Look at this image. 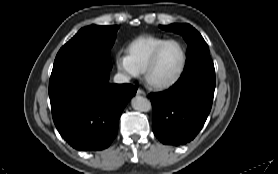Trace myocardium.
Segmentation results:
<instances>
[{
    "label": "myocardium",
    "instance_id": "1",
    "mask_svg": "<svg viewBox=\"0 0 278 174\" xmlns=\"http://www.w3.org/2000/svg\"><path fill=\"white\" fill-rule=\"evenodd\" d=\"M169 43H177L181 47V50H182L181 65H180L177 73L172 78H170L168 80H164V81H156V80L152 79V77H151L152 69L156 63V60L158 58L160 51L163 49L164 46H166ZM186 64H187V49H186V46L184 45V43L177 39L165 40L160 45H158L155 48V50L153 51V53L151 54V56L148 60V63L146 65V68L144 70L145 80L149 85H151L154 88H157V89L169 88V87L173 86L175 83H177L179 81V79L182 77V75L185 71V68H186Z\"/></svg>",
    "mask_w": 278,
    "mask_h": 174
}]
</instances>
